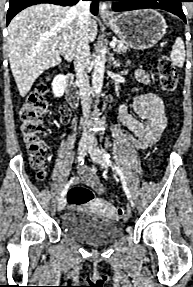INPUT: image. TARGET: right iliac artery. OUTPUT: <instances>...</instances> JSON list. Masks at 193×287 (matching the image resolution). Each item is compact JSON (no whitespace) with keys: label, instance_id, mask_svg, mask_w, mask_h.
Returning a JSON list of instances; mask_svg holds the SVG:
<instances>
[{"label":"right iliac artery","instance_id":"obj_1","mask_svg":"<svg viewBox=\"0 0 193 287\" xmlns=\"http://www.w3.org/2000/svg\"><path fill=\"white\" fill-rule=\"evenodd\" d=\"M84 156L85 155H80L78 157V162H79V166H82L84 164ZM75 177L71 178V180L67 183V185L65 186V188L63 189L62 193H61V197L63 198L66 193H67V190L69 188V186L73 183Z\"/></svg>","mask_w":193,"mask_h":287}]
</instances>
